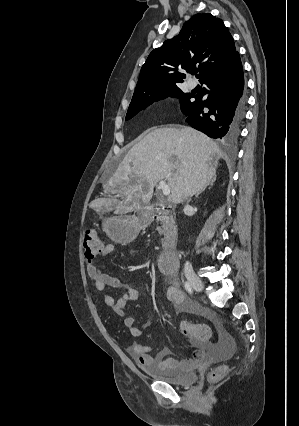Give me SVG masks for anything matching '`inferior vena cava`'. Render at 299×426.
I'll list each match as a JSON object with an SVG mask.
<instances>
[{
  "mask_svg": "<svg viewBox=\"0 0 299 426\" xmlns=\"http://www.w3.org/2000/svg\"><path fill=\"white\" fill-rule=\"evenodd\" d=\"M191 267V264L189 262H186L185 268Z\"/></svg>",
  "mask_w": 299,
  "mask_h": 426,
  "instance_id": "obj_1",
  "label": "inferior vena cava"
}]
</instances>
